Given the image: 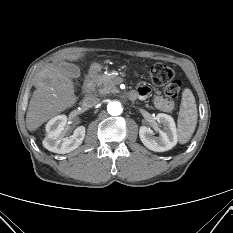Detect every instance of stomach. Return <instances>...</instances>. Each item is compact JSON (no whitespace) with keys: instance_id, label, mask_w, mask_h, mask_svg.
Here are the masks:
<instances>
[{"instance_id":"0dacf381","label":"stomach","mask_w":233,"mask_h":233,"mask_svg":"<svg viewBox=\"0 0 233 233\" xmlns=\"http://www.w3.org/2000/svg\"><path fill=\"white\" fill-rule=\"evenodd\" d=\"M92 67H93V69H96V68L99 67V65H98L97 63H94V64L92 65Z\"/></svg>"}]
</instances>
